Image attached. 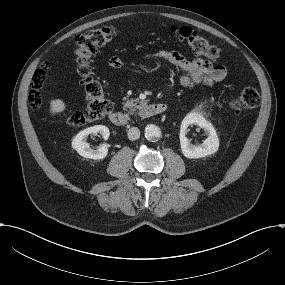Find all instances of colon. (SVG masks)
<instances>
[{"instance_id":"1","label":"colon","mask_w":285,"mask_h":285,"mask_svg":"<svg viewBox=\"0 0 285 285\" xmlns=\"http://www.w3.org/2000/svg\"><path fill=\"white\" fill-rule=\"evenodd\" d=\"M171 31L180 39L184 40L191 50L206 57L210 61H217L222 51L207 39L198 35L187 26H174ZM117 34L116 28L105 26L90 29L76 38L73 56L76 63L77 73L85 90L86 105L82 111L72 113L68 117V124L72 127H80L89 122L97 121L105 117L112 110V103L107 99L103 86L93 78L90 61L98 50L107 45ZM47 67L38 69L31 82L29 93V105L37 109L42 105L41 90L47 80ZM260 96L253 87L244 88L238 95L228 101L232 110H252L258 106Z\"/></svg>"}]
</instances>
